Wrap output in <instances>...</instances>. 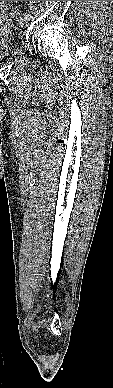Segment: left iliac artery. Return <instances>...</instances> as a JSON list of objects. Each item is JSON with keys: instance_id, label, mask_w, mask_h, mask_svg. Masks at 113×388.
<instances>
[{"instance_id": "44dca946", "label": "left iliac artery", "mask_w": 113, "mask_h": 388, "mask_svg": "<svg viewBox=\"0 0 113 388\" xmlns=\"http://www.w3.org/2000/svg\"><path fill=\"white\" fill-rule=\"evenodd\" d=\"M25 16H26V18H27L28 20L31 19V15H30V14H26Z\"/></svg>"}]
</instances>
